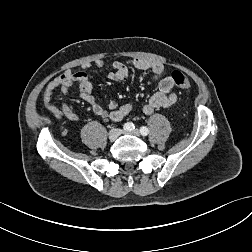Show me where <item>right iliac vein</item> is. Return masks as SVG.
I'll return each instance as SVG.
<instances>
[{"instance_id": "63e3f726", "label": "right iliac vein", "mask_w": 252, "mask_h": 252, "mask_svg": "<svg viewBox=\"0 0 252 252\" xmlns=\"http://www.w3.org/2000/svg\"><path fill=\"white\" fill-rule=\"evenodd\" d=\"M122 131L118 128H113L109 131L108 137L110 140H116L120 135Z\"/></svg>"}]
</instances>
